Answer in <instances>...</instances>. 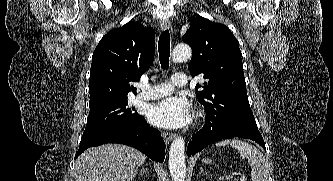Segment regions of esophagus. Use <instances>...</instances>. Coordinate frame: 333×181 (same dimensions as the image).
I'll use <instances>...</instances> for the list:
<instances>
[{
	"instance_id": "1",
	"label": "esophagus",
	"mask_w": 333,
	"mask_h": 181,
	"mask_svg": "<svg viewBox=\"0 0 333 181\" xmlns=\"http://www.w3.org/2000/svg\"><path fill=\"white\" fill-rule=\"evenodd\" d=\"M170 28H171V24H170L169 21H163L161 23V29L163 31L169 30ZM162 137L164 138V140L166 142H170L171 140H173L176 137V134L175 133H170V132H163Z\"/></svg>"
}]
</instances>
